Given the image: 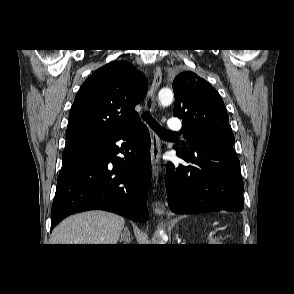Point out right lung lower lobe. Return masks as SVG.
I'll return each mask as SVG.
<instances>
[{
  "label": "right lung lower lobe",
  "mask_w": 294,
  "mask_h": 294,
  "mask_svg": "<svg viewBox=\"0 0 294 294\" xmlns=\"http://www.w3.org/2000/svg\"><path fill=\"white\" fill-rule=\"evenodd\" d=\"M118 141H123L122 147L116 145ZM150 177V135L138 119L116 132L68 144L51 211V230L71 214L96 209L147 221Z\"/></svg>",
  "instance_id": "1"
}]
</instances>
